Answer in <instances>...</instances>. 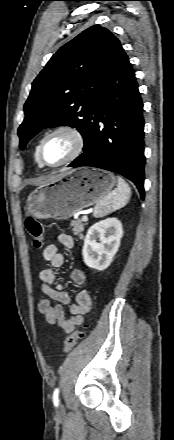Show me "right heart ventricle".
<instances>
[{"label": "right heart ventricle", "mask_w": 174, "mask_h": 440, "mask_svg": "<svg viewBox=\"0 0 174 440\" xmlns=\"http://www.w3.org/2000/svg\"><path fill=\"white\" fill-rule=\"evenodd\" d=\"M34 158H35V161H36V163L38 164V166L41 167V165L39 164V162H38V160H37V146H36V148H35Z\"/></svg>", "instance_id": "1"}]
</instances>
